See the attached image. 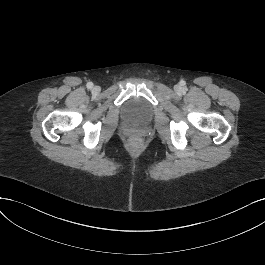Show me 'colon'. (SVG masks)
I'll list each match as a JSON object with an SVG mask.
<instances>
[{
	"label": "colon",
	"mask_w": 265,
	"mask_h": 265,
	"mask_svg": "<svg viewBox=\"0 0 265 265\" xmlns=\"http://www.w3.org/2000/svg\"><path fill=\"white\" fill-rule=\"evenodd\" d=\"M140 136H141V134H140V132L137 131V130H132V131L129 132V137H130V139H131L133 142H138L139 139H140Z\"/></svg>",
	"instance_id": "1"
}]
</instances>
